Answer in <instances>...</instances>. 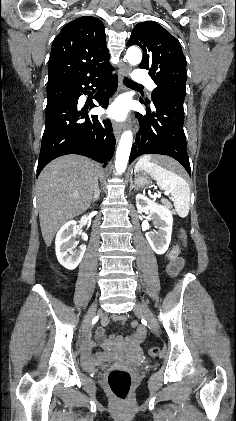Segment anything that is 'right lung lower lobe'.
Instances as JSON below:
<instances>
[{
    "label": "right lung lower lobe",
    "instance_id": "obj_1",
    "mask_svg": "<svg viewBox=\"0 0 236 421\" xmlns=\"http://www.w3.org/2000/svg\"><path fill=\"white\" fill-rule=\"evenodd\" d=\"M111 70V67L101 69L57 85L65 88L70 98L47 104L37 176L50 161L67 154L87 156L104 163V167L111 160L116 143L111 122L108 119L99 120L98 116L89 117L86 111L88 107H78L79 97L87 94V90L93 89V86H99L95 99L99 106L107 108L108 99L118 85ZM92 107L97 105L92 103Z\"/></svg>",
    "mask_w": 236,
    "mask_h": 421
}]
</instances>
